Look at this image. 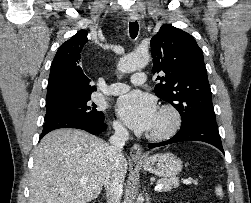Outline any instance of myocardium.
Returning <instances> with one entry per match:
<instances>
[{
	"instance_id": "1",
	"label": "myocardium",
	"mask_w": 251,
	"mask_h": 203,
	"mask_svg": "<svg viewBox=\"0 0 251 203\" xmlns=\"http://www.w3.org/2000/svg\"><path fill=\"white\" fill-rule=\"evenodd\" d=\"M158 114L167 118V125L159 130H152L148 134V138L152 140H166L177 133L181 126V115L179 111L171 106L164 105L159 109Z\"/></svg>"
}]
</instances>
